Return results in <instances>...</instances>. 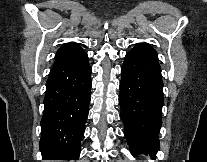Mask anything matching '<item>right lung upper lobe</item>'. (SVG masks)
I'll use <instances>...</instances> for the list:
<instances>
[{"mask_svg": "<svg viewBox=\"0 0 207 162\" xmlns=\"http://www.w3.org/2000/svg\"><path fill=\"white\" fill-rule=\"evenodd\" d=\"M84 54V50L77 43H67L57 51L54 66L73 61Z\"/></svg>", "mask_w": 207, "mask_h": 162, "instance_id": "cb5924a9", "label": "right lung upper lobe"}]
</instances>
